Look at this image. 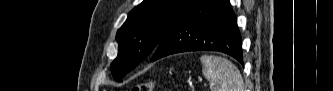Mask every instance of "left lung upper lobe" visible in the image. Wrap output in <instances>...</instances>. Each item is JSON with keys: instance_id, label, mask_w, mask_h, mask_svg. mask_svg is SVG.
Here are the masks:
<instances>
[{"instance_id": "obj_1", "label": "left lung upper lobe", "mask_w": 333, "mask_h": 91, "mask_svg": "<svg viewBox=\"0 0 333 91\" xmlns=\"http://www.w3.org/2000/svg\"><path fill=\"white\" fill-rule=\"evenodd\" d=\"M198 0H144L118 30V56L111 72L118 82L150 56L173 26Z\"/></svg>"}]
</instances>
